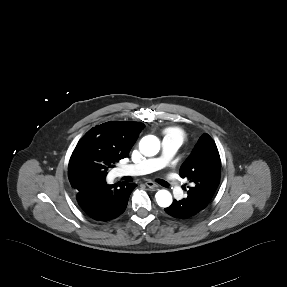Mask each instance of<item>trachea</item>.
Masks as SVG:
<instances>
[{"instance_id":"1","label":"trachea","mask_w":287,"mask_h":287,"mask_svg":"<svg viewBox=\"0 0 287 287\" xmlns=\"http://www.w3.org/2000/svg\"><path fill=\"white\" fill-rule=\"evenodd\" d=\"M157 182L164 187H168V183L164 180L159 179V180H157Z\"/></svg>"}]
</instances>
